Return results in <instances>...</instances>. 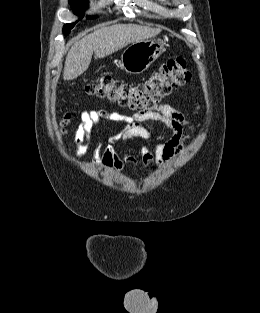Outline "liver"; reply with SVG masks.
Listing matches in <instances>:
<instances>
[{"label":"liver","mask_w":260,"mask_h":313,"mask_svg":"<svg viewBox=\"0 0 260 313\" xmlns=\"http://www.w3.org/2000/svg\"><path fill=\"white\" fill-rule=\"evenodd\" d=\"M161 32L159 28H150L135 24H114L95 30L76 41L68 51L63 79L73 80L89 67L93 52L98 58H104L128 44L146 40Z\"/></svg>","instance_id":"liver-1"}]
</instances>
